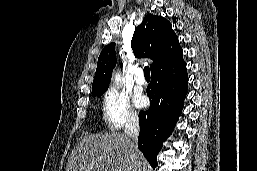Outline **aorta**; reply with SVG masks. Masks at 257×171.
<instances>
[{"instance_id": "762f6f07", "label": "aorta", "mask_w": 257, "mask_h": 171, "mask_svg": "<svg viewBox=\"0 0 257 171\" xmlns=\"http://www.w3.org/2000/svg\"><path fill=\"white\" fill-rule=\"evenodd\" d=\"M119 80H120V76H119V74H116L115 75V81L118 82Z\"/></svg>"}]
</instances>
